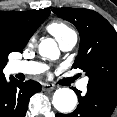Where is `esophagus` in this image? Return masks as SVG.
Listing matches in <instances>:
<instances>
[{
	"label": "esophagus",
	"instance_id": "34e87169",
	"mask_svg": "<svg viewBox=\"0 0 117 117\" xmlns=\"http://www.w3.org/2000/svg\"><path fill=\"white\" fill-rule=\"evenodd\" d=\"M55 88L56 86L54 84H50V83L43 84L44 91H53Z\"/></svg>",
	"mask_w": 117,
	"mask_h": 117
}]
</instances>
